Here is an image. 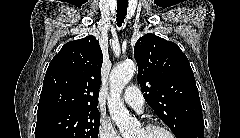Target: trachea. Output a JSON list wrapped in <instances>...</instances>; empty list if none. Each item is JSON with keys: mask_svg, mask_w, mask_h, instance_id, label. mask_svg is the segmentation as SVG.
<instances>
[{"mask_svg": "<svg viewBox=\"0 0 240 138\" xmlns=\"http://www.w3.org/2000/svg\"><path fill=\"white\" fill-rule=\"evenodd\" d=\"M127 4L124 5H117V15H116V21H117V26L121 27L122 23L124 22L125 16L127 14Z\"/></svg>", "mask_w": 240, "mask_h": 138, "instance_id": "3493384b", "label": "trachea"}]
</instances>
